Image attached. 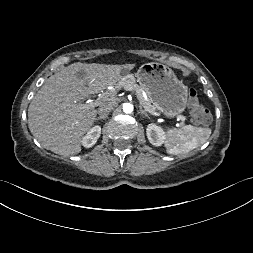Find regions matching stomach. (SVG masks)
<instances>
[{
	"label": "stomach",
	"instance_id": "stomach-1",
	"mask_svg": "<svg viewBox=\"0 0 253 253\" xmlns=\"http://www.w3.org/2000/svg\"><path fill=\"white\" fill-rule=\"evenodd\" d=\"M136 77L140 87L164 116L173 118L184 112L188 88L171 68L160 63H144Z\"/></svg>",
	"mask_w": 253,
	"mask_h": 253
}]
</instances>
